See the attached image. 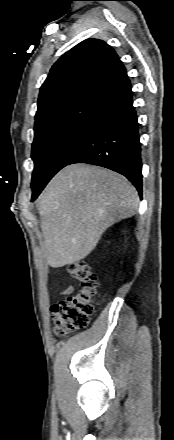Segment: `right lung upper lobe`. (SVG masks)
I'll return each instance as SVG.
<instances>
[{
    "label": "right lung upper lobe",
    "mask_w": 174,
    "mask_h": 440,
    "mask_svg": "<svg viewBox=\"0 0 174 440\" xmlns=\"http://www.w3.org/2000/svg\"><path fill=\"white\" fill-rule=\"evenodd\" d=\"M125 76V67L108 44L87 39L52 66L40 89L35 120L78 98L98 94Z\"/></svg>",
    "instance_id": "right-lung-upper-lobe-1"
}]
</instances>
